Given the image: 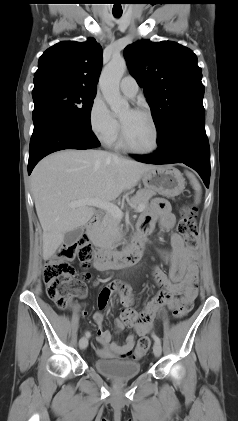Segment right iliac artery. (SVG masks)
I'll return each mask as SVG.
<instances>
[{"label":"right iliac artery","instance_id":"1","mask_svg":"<svg viewBox=\"0 0 238 421\" xmlns=\"http://www.w3.org/2000/svg\"><path fill=\"white\" fill-rule=\"evenodd\" d=\"M85 335H86V337H88V338L91 336L90 332H88V331L85 333Z\"/></svg>","mask_w":238,"mask_h":421}]
</instances>
